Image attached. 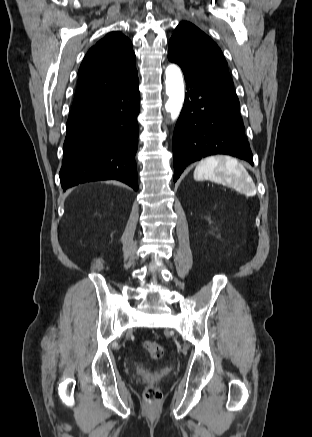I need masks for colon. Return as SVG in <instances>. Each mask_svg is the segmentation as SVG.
Segmentation results:
<instances>
[{
	"instance_id": "obj_1",
	"label": "colon",
	"mask_w": 312,
	"mask_h": 437,
	"mask_svg": "<svg viewBox=\"0 0 312 437\" xmlns=\"http://www.w3.org/2000/svg\"><path fill=\"white\" fill-rule=\"evenodd\" d=\"M144 349L148 355L154 360H160L164 355V350L161 344L155 341H145ZM144 398L148 402H156L160 400L161 393L155 386H149L144 392Z\"/></svg>"
}]
</instances>
